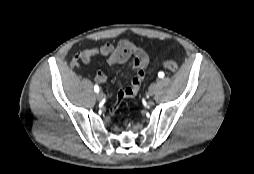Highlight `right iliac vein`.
I'll return each mask as SVG.
<instances>
[{
	"mask_svg": "<svg viewBox=\"0 0 254 174\" xmlns=\"http://www.w3.org/2000/svg\"><path fill=\"white\" fill-rule=\"evenodd\" d=\"M103 93L102 92H98L97 94H96V98L98 99V100H102V98H103Z\"/></svg>",
	"mask_w": 254,
	"mask_h": 174,
	"instance_id": "63e3f726",
	"label": "right iliac vein"
}]
</instances>
